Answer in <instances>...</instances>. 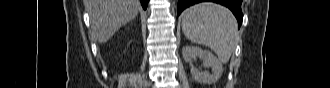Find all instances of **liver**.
<instances>
[{
  "instance_id": "1",
  "label": "liver",
  "mask_w": 330,
  "mask_h": 88,
  "mask_svg": "<svg viewBox=\"0 0 330 88\" xmlns=\"http://www.w3.org/2000/svg\"><path fill=\"white\" fill-rule=\"evenodd\" d=\"M90 15L91 35L99 43L108 41L122 26L133 20L139 0H85Z\"/></svg>"
}]
</instances>
